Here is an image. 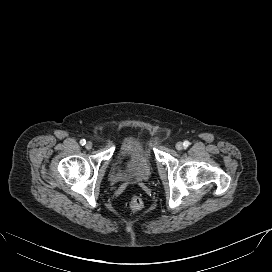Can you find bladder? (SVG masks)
I'll return each mask as SVG.
<instances>
[{"mask_svg":"<svg viewBox=\"0 0 272 272\" xmlns=\"http://www.w3.org/2000/svg\"><path fill=\"white\" fill-rule=\"evenodd\" d=\"M153 175L152 154L150 148L140 140L125 142L116 155L112 180L122 182L132 179L147 182Z\"/></svg>","mask_w":272,"mask_h":272,"instance_id":"1","label":"bladder"}]
</instances>
